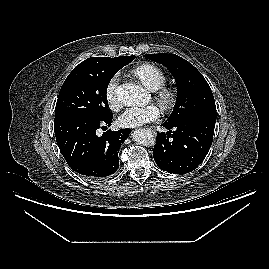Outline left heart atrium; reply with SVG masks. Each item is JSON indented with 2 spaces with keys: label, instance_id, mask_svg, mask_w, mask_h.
I'll return each instance as SVG.
<instances>
[{
  "label": "left heart atrium",
  "instance_id": "1",
  "mask_svg": "<svg viewBox=\"0 0 269 269\" xmlns=\"http://www.w3.org/2000/svg\"><path fill=\"white\" fill-rule=\"evenodd\" d=\"M159 117L160 110L155 105L130 107L119 116L118 124L121 127H138L150 122H155Z\"/></svg>",
  "mask_w": 269,
  "mask_h": 269
}]
</instances>
